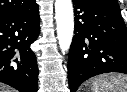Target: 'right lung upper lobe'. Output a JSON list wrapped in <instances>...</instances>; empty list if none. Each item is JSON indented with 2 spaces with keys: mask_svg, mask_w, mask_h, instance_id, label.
<instances>
[{
  "mask_svg": "<svg viewBox=\"0 0 127 92\" xmlns=\"http://www.w3.org/2000/svg\"><path fill=\"white\" fill-rule=\"evenodd\" d=\"M36 5V0H0V17L29 10Z\"/></svg>",
  "mask_w": 127,
  "mask_h": 92,
  "instance_id": "right-lung-upper-lobe-1",
  "label": "right lung upper lobe"
}]
</instances>
